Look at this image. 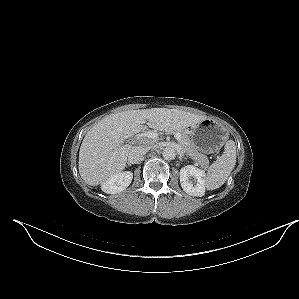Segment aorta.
Here are the masks:
<instances>
[{
  "instance_id": "aorta-1",
  "label": "aorta",
  "mask_w": 299,
  "mask_h": 299,
  "mask_svg": "<svg viewBox=\"0 0 299 299\" xmlns=\"http://www.w3.org/2000/svg\"><path fill=\"white\" fill-rule=\"evenodd\" d=\"M162 156L165 160H173L176 157V150L172 147H166L162 152Z\"/></svg>"
}]
</instances>
